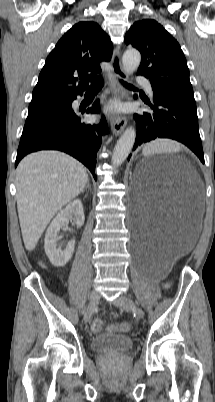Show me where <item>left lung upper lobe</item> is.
<instances>
[{
	"label": "left lung upper lobe",
	"mask_w": 215,
	"mask_h": 402,
	"mask_svg": "<svg viewBox=\"0 0 215 402\" xmlns=\"http://www.w3.org/2000/svg\"><path fill=\"white\" fill-rule=\"evenodd\" d=\"M142 55L138 74L148 78L153 92L196 108L189 69L179 43L153 19L136 21L125 35Z\"/></svg>",
	"instance_id": "1"
}]
</instances>
